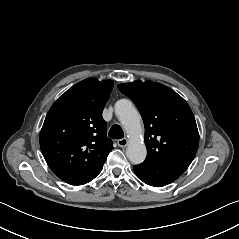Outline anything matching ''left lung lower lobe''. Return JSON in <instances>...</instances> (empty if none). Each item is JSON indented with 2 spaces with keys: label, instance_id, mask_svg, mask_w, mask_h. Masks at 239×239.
Here are the masks:
<instances>
[{
  "label": "left lung lower lobe",
  "instance_id": "obj_1",
  "mask_svg": "<svg viewBox=\"0 0 239 239\" xmlns=\"http://www.w3.org/2000/svg\"><path fill=\"white\" fill-rule=\"evenodd\" d=\"M189 165L172 163H147L133 166L137 177L144 183L162 187L170 184L182 175Z\"/></svg>",
  "mask_w": 239,
  "mask_h": 239
}]
</instances>
